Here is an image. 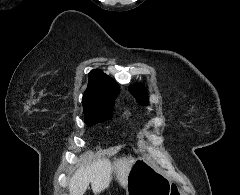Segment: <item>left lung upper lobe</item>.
<instances>
[{"mask_svg":"<svg viewBox=\"0 0 240 195\" xmlns=\"http://www.w3.org/2000/svg\"><path fill=\"white\" fill-rule=\"evenodd\" d=\"M129 90L132 95L141 103V104H149L148 95L146 89L142 86V84L137 83L129 86Z\"/></svg>","mask_w":240,"mask_h":195,"instance_id":"obj_1","label":"left lung upper lobe"}]
</instances>
